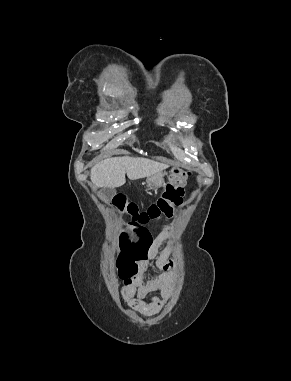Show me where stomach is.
<instances>
[{
    "mask_svg": "<svg viewBox=\"0 0 291 381\" xmlns=\"http://www.w3.org/2000/svg\"><path fill=\"white\" fill-rule=\"evenodd\" d=\"M165 173H157L147 178L149 188H160L164 184Z\"/></svg>",
    "mask_w": 291,
    "mask_h": 381,
    "instance_id": "1",
    "label": "stomach"
}]
</instances>
